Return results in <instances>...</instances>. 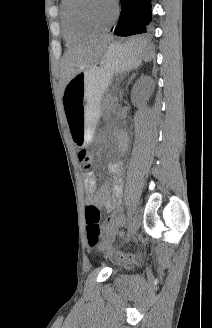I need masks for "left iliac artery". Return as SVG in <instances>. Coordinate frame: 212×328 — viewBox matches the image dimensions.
I'll return each mask as SVG.
<instances>
[{"label":"left iliac artery","instance_id":"obj_1","mask_svg":"<svg viewBox=\"0 0 212 328\" xmlns=\"http://www.w3.org/2000/svg\"><path fill=\"white\" fill-rule=\"evenodd\" d=\"M127 214H128V217H130L132 215V209L131 208L128 209Z\"/></svg>","mask_w":212,"mask_h":328}]
</instances>
